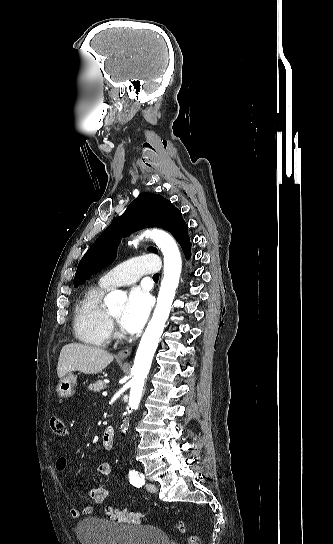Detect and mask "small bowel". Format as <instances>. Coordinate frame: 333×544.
<instances>
[{"mask_svg": "<svg viewBox=\"0 0 333 544\" xmlns=\"http://www.w3.org/2000/svg\"><path fill=\"white\" fill-rule=\"evenodd\" d=\"M67 464V459L60 457L56 461V468L59 471H64L67 468ZM111 472L112 466L109 462H102L95 469V473L100 476H108ZM71 485L74 489H77L79 486L76 481H71ZM85 494L88 497L89 504L83 505L82 507H73L71 509V514L75 518L91 514L93 512V505H102L104 501L110 498L112 490L108 484H103L86 489Z\"/></svg>", "mask_w": 333, "mask_h": 544, "instance_id": "c3829d8e", "label": "small bowel"}]
</instances>
